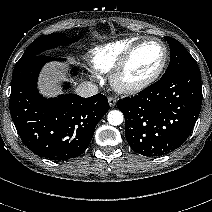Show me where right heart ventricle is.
Returning a JSON list of instances; mask_svg holds the SVG:
<instances>
[{"mask_svg":"<svg viewBox=\"0 0 212 212\" xmlns=\"http://www.w3.org/2000/svg\"><path fill=\"white\" fill-rule=\"evenodd\" d=\"M138 40L130 37L92 49L89 60L93 69L102 74L113 71L125 52Z\"/></svg>","mask_w":212,"mask_h":212,"instance_id":"e07e8e85","label":"right heart ventricle"}]
</instances>
